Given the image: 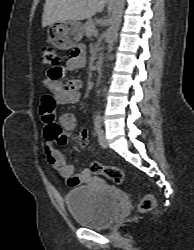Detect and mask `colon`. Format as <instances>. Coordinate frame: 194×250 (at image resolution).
Returning a JSON list of instances; mask_svg holds the SVG:
<instances>
[{
    "mask_svg": "<svg viewBox=\"0 0 194 250\" xmlns=\"http://www.w3.org/2000/svg\"><path fill=\"white\" fill-rule=\"evenodd\" d=\"M74 51L72 52V56ZM41 63L45 66L51 67L50 76L57 79L61 76L60 57L53 46L45 45L41 50ZM55 101L52 95L46 94L42 97V110H54ZM81 146L85 147L87 143L79 140ZM90 170L97 175L104 176L111 182L120 185L124 182V172L121 168L113 165H102L101 163L94 162ZM155 206V199L151 194H146L141 199L139 211L141 213L150 212Z\"/></svg>",
    "mask_w": 194,
    "mask_h": 250,
    "instance_id": "5ec220e1",
    "label": "colon"
}]
</instances>
